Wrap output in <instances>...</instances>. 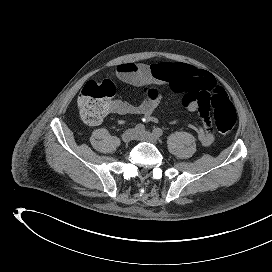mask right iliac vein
Segmentation results:
<instances>
[{
    "instance_id": "1",
    "label": "right iliac vein",
    "mask_w": 272,
    "mask_h": 272,
    "mask_svg": "<svg viewBox=\"0 0 272 272\" xmlns=\"http://www.w3.org/2000/svg\"><path fill=\"white\" fill-rule=\"evenodd\" d=\"M137 131L135 129H128L122 134V140L125 143H129L136 139Z\"/></svg>"
}]
</instances>
